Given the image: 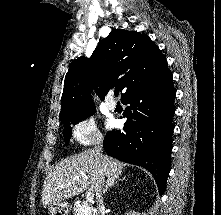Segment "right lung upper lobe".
<instances>
[{
	"label": "right lung upper lobe",
	"instance_id": "obj_1",
	"mask_svg": "<svg viewBox=\"0 0 221 215\" xmlns=\"http://www.w3.org/2000/svg\"><path fill=\"white\" fill-rule=\"evenodd\" d=\"M168 69L158 46L145 34L114 29L90 58L75 59L68 69L61 97L60 120L93 109L91 90L102 98L109 89L122 98Z\"/></svg>",
	"mask_w": 221,
	"mask_h": 215
}]
</instances>
